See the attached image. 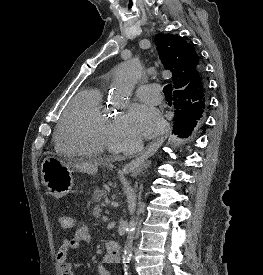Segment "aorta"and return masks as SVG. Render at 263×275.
Segmentation results:
<instances>
[{
	"instance_id": "762f6f07",
	"label": "aorta",
	"mask_w": 263,
	"mask_h": 275,
	"mask_svg": "<svg viewBox=\"0 0 263 275\" xmlns=\"http://www.w3.org/2000/svg\"><path fill=\"white\" fill-rule=\"evenodd\" d=\"M141 75V64L136 59H132L118 65L115 71L113 82L111 84L110 98L118 102H124L128 100L134 87L139 82ZM135 226V218L132 217L128 223L127 239L122 254V263L125 274H127L128 264L132 259Z\"/></svg>"
}]
</instances>
